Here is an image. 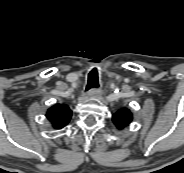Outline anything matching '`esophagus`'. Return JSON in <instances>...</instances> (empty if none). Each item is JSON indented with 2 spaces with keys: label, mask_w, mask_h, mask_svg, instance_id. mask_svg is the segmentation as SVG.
Masks as SVG:
<instances>
[{
  "label": "esophagus",
  "mask_w": 184,
  "mask_h": 173,
  "mask_svg": "<svg viewBox=\"0 0 184 173\" xmlns=\"http://www.w3.org/2000/svg\"><path fill=\"white\" fill-rule=\"evenodd\" d=\"M100 94H101L100 90H96V89H91V90H89V91L86 93V95H87L88 97H99Z\"/></svg>",
  "instance_id": "esophagus-1"
}]
</instances>
